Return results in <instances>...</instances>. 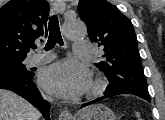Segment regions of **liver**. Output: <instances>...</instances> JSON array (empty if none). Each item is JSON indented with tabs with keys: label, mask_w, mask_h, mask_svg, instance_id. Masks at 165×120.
I'll return each instance as SVG.
<instances>
[{
	"label": "liver",
	"mask_w": 165,
	"mask_h": 120,
	"mask_svg": "<svg viewBox=\"0 0 165 120\" xmlns=\"http://www.w3.org/2000/svg\"><path fill=\"white\" fill-rule=\"evenodd\" d=\"M39 111L15 93L0 89V120H38Z\"/></svg>",
	"instance_id": "obj_1"
}]
</instances>
